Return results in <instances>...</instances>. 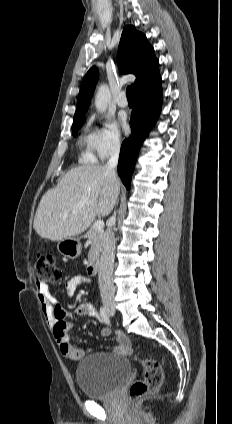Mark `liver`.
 <instances>
[{"mask_svg": "<svg viewBox=\"0 0 232 424\" xmlns=\"http://www.w3.org/2000/svg\"><path fill=\"white\" fill-rule=\"evenodd\" d=\"M120 184L118 186V191ZM116 187L101 165H85L68 171L57 186L47 191L34 217L36 233L60 241L84 232L96 216H108L115 205Z\"/></svg>", "mask_w": 232, "mask_h": 424, "instance_id": "obj_1", "label": "liver"}]
</instances>
